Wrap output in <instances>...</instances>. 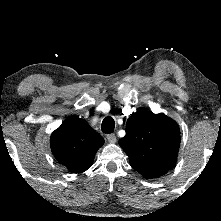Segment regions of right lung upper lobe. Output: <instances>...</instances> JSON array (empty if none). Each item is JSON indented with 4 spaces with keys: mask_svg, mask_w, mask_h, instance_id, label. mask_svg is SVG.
<instances>
[{
    "mask_svg": "<svg viewBox=\"0 0 221 221\" xmlns=\"http://www.w3.org/2000/svg\"><path fill=\"white\" fill-rule=\"evenodd\" d=\"M104 139L88 122L69 117L51 135V151L57 161L73 173L86 171Z\"/></svg>",
    "mask_w": 221,
    "mask_h": 221,
    "instance_id": "right-lung-upper-lobe-1",
    "label": "right lung upper lobe"
}]
</instances>
